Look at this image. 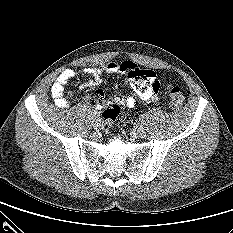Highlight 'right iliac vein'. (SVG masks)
<instances>
[{"instance_id": "63e3f726", "label": "right iliac vein", "mask_w": 233, "mask_h": 233, "mask_svg": "<svg viewBox=\"0 0 233 233\" xmlns=\"http://www.w3.org/2000/svg\"><path fill=\"white\" fill-rule=\"evenodd\" d=\"M94 126L96 129H101L102 127L101 120L100 119L94 120Z\"/></svg>"}]
</instances>
